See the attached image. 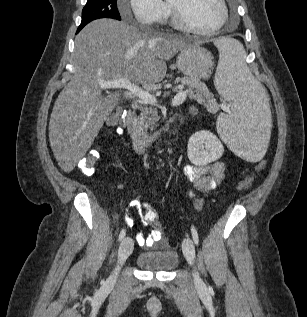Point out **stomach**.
<instances>
[{"mask_svg":"<svg viewBox=\"0 0 307 317\" xmlns=\"http://www.w3.org/2000/svg\"><path fill=\"white\" fill-rule=\"evenodd\" d=\"M178 69L187 77L206 79L213 67V56L198 44L184 47L177 56Z\"/></svg>","mask_w":307,"mask_h":317,"instance_id":"obj_1","label":"stomach"}]
</instances>
